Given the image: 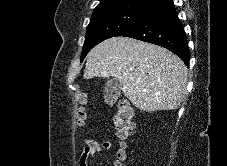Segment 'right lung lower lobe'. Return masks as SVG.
I'll return each mask as SVG.
<instances>
[{
  "label": "right lung lower lobe",
  "instance_id": "1",
  "mask_svg": "<svg viewBox=\"0 0 227 166\" xmlns=\"http://www.w3.org/2000/svg\"><path fill=\"white\" fill-rule=\"evenodd\" d=\"M118 36L162 46L179 56L187 66L189 65L190 52L186 35L173 8L172 0L166 1Z\"/></svg>",
  "mask_w": 227,
  "mask_h": 166
}]
</instances>
